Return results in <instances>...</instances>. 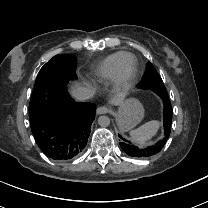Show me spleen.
<instances>
[{"mask_svg":"<svg viewBox=\"0 0 208 208\" xmlns=\"http://www.w3.org/2000/svg\"><path fill=\"white\" fill-rule=\"evenodd\" d=\"M160 122L152 120L141 125L139 128L130 132L131 141L137 145H143L150 140L158 131Z\"/></svg>","mask_w":208,"mask_h":208,"instance_id":"obj_1","label":"spleen"}]
</instances>
